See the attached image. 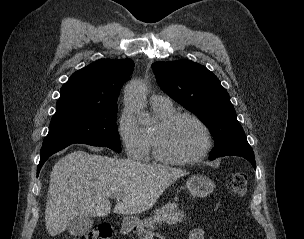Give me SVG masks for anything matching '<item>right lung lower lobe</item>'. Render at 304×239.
Returning <instances> with one entry per match:
<instances>
[{
  "label": "right lung lower lobe",
  "instance_id": "98d812e1",
  "mask_svg": "<svg viewBox=\"0 0 304 239\" xmlns=\"http://www.w3.org/2000/svg\"><path fill=\"white\" fill-rule=\"evenodd\" d=\"M67 146H69V145L48 146V147L41 148L40 162H39V165L37 168V174H39L41 167L52 154L64 149Z\"/></svg>",
  "mask_w": 304,
  "mask_h": 239
}]
</instances>
